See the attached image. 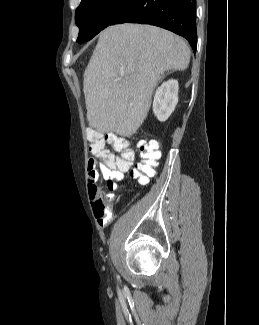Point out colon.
<instances>
[{"label": "colon", "mask_w": 259, "mask_h": 325, "mask_svg": "<svg viewBox=\"0 0 259 325\" xmlns=\"http://www.w3.org/2000/svg\"><path fill=\"white\" fill-rule=\"evenodd\" d=\"M87 139L90 144V151L98 156L106 154V143L111 145L120 153L119 167L121 169L130 168L134 158V151L129 147L130 141L116 134H102L95 129L87 130ZM137 152L140 155V161L130 169V176L138 179L140 183L146 184L155 173V168L161 156L159 145L156 141H141L137 145ZM109 189H113L114 185L108 180Z\"/></svg>", "instance_id": "1"}]
</instances>
